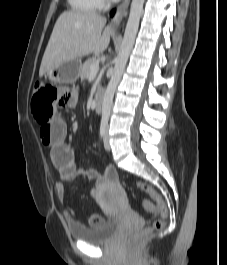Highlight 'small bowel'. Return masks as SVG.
Listing matches in <instances>:
<instances>
[{"mask_svg":"<svg viewBox=\"0 0 227 265\" xmlns=\"http://www.w3.org/2000/svg\"><path fill=\"white\" fill-rule=\"evenodd\" d=\"M67 86H72V81L66 82ZM78 100V90L70 89L63 93V99H59L58 108L74 107ZM67 125L59 116L46 120V125L40 128V138L44 145L50 148V158L54 166L60 173V181L56 184L57 196L61 201L67 198V192L64 187L65 182H70L79 176H84L94 181L91 189V196L96 197L102 185L113 184L117 181L118 175L116 170L109 166L103 174L93 168H78L75 163L74 152L71 146L66 142ZM66 217L69 221L74 222V212L71 208L66 211ZM103 218L97 214L89 217L91 226L100 224Z\"/></svg>","mask_w":227,"mask_h":265,"instance_id":"obj_1","label":"small bowel"}]
</instances>
